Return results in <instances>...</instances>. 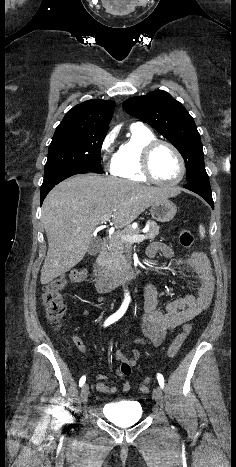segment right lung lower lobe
I'll use <instances>...</instances> for the list:
<instances>
[{
  "label": "right lung lower lobe",
  "mask_w": 236,
  "mask_h": 467,
  "mask_svg": "<svg viewBox=\"0 0 236 467\" xmlns=\"http://www.w3.org/2000/svg\"><path fill=\"white\" fill-rule=\"evenodd\" d=\"M87 170L80 169V168H67L56 171L54 173L48 174L44 176L43 184L41 186V204L45 199L46 195L49 191L58 183L63 181L64 179L73 176L75 174L87 173Z\"/></svg>",
  "instance_id": "1"
}]
</instances>
